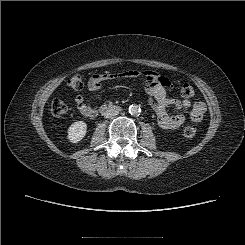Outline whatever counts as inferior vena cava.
<instances>
[{"instance_id":"1","label":"inferior vena cava","mask_w":245,"mask_h":245,"mask_svg":"<svg viewBox=\"0 0 245 245\" xmlns=\"http://www.w3.org/2000/svg\"><path fill=\"white\" fill-rule=\"evenodd\" d=\"M119 114V110L118 109H114V108H110L108 110H106L104 113H103V116L105 118H112L116 115Z\"/></svg>"}]
</instances>
